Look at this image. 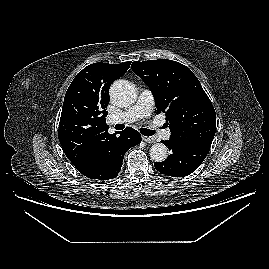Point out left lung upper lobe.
I'll return each mask as SVG.
<instances>
[{"instance_id":"obj_1","label":"left lung upper lobe","mask_w":269,"mask_h":269,"mask_svg":"<svg viewBox=\"0 0 269 269\" xmlns=\"http://www.w3.org/2000/svg\"><path fill=\"white\" fill-rule=\"evenodd\" d=\"M131 68L151 89L157 113L166 114L171 140L211 145L216 131L215 110L188 67L176 61L159 59L136 61Z\"/></svg>"}]
</instances>
